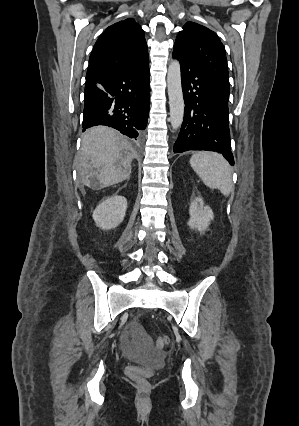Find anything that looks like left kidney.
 <instances>
[{"label":"left kidney","mask_w":299,"mask_h":426,"mask_svg":"<svg viewBox=\"0 0 299 426\" xmlns=\"http://www.w3.org/2000/svg\"><path fill=\"white\" fill-rule=\"evenodd\" d=\"M190 219L188 226L191 229H196L200 232L205 231L210 221L213 220L214 214L209 206L204 205L202 198L196 197L189 208Z\"/></svg>","instance_id":"1"}]
</instances>
